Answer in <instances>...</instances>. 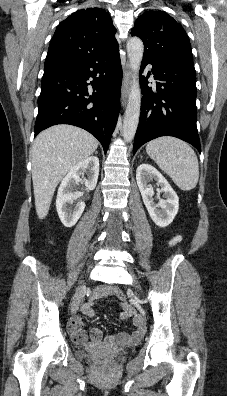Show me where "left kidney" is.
<instances>
[{
    "mask_svg": "<svg viewBox=\"0 0 227 396\" xmlns=\"http://www.w3.org/2000/svg\"><path fill=\"white\" fill-rule=\"evenodd\" d=\"M136 180L143 202L153 222L159 227L171 224L179 209V198L167 179L150 164H141L136 170ZM153 180L161 186V189H157V191L159 194L163 193L165 198L158 197V203L154 202V191L148 184Z\"/></svg>",
    "mask_w": 227,
    "mask_h": 396,
    "instance_id": "1",
    "label": "left kidney"
}]
</instances>
